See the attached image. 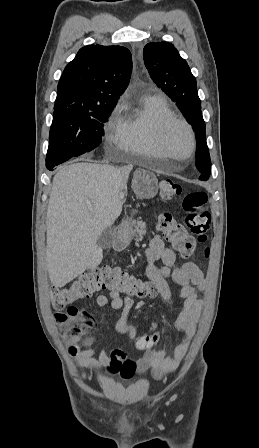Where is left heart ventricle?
<instances>
[{
	"label": "left heart ventricle",
	"mask_w": 259,
	"mask_h": 448,
	"mask_svg": "<svg viewBox=\"0 0 259 448\" xmlns=\"http://www.w3.org/2000/svg\"><path fill=\"white\" fill-rule=\"evenodd\" d=\"M167 145L168 149L147 150L146 154L166 162L189 161L190 137L185 127L180 124L173 125L167 135Z\"/></svg>",
	"instance_id": "1"
}]
</instances>
